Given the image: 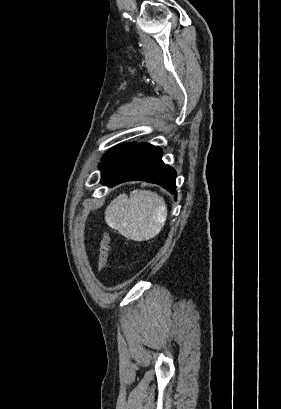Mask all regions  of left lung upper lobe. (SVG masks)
<instances>
[{
	"label": "left lung upper lobe",
	"instance_id": "obj_1",
	"mask_svg": "<svg viewBox=\"0 0 281 409\" xmlns=\"http://www.w3.org/2000/svg\"><path fill=\"white\" fill-rule=\"evenodd\" d=\"M136 145L135 143H124L118 146L111 148L102 158V163L99 164L100 169L103 168L110 160Z\"/></svg>",
	"mask_w": 281,
	"mask_h": 409
}]
</instances>
